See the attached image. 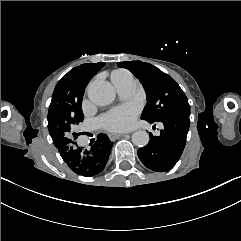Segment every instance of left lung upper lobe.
I'll return each instance as SVG.
<instances>
[{"mask_svg":"<svg viewBox=\"0 0 241 241\" xmlns=\"http://www.w3.org/2000/svg\"><path fill=\"white\" fill-rule=\"evenodd\" d=\"M119 67L130 70L143 84L147 94V104L141 119L160 122L190 110L188 99L180 86L157 67L141 61L118 63Z\"/></svg>","mask_w":241,"mask_h":241,"instance_id":"obj_1","label":"left lung upper lobe"}]
</instances>
